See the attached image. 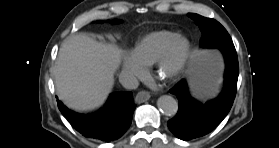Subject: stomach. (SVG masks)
<instances>
[{"label":"stomach","instance_id":"obj_1","mask_svg":"<svg viewBox=\"0 0 279 148\" xmlns=\"http://www.w3.org/2000/svg\"><path fill=\"white\" fill-rule=\"evenodd\" d=\"M192 74V86L197 94L211 93L217 83L219 71L217 62L208 54L195 53L190 62Z\"/></svg>","mask_w":279,"mask_h":148}]
</instances>
